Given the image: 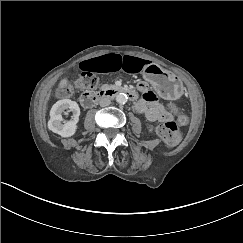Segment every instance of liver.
<instances>
[{
	"label": "liver",
	"mask_w": 243,
	"mask_h": 243,
	"mask_svg": "<svg viewBox=\"0 0 243 243\" xmlns=\"http://www.w3.org/2000/svg\"><path fill=\"white\" fill-rule=\"evenodd\" d=\"M67 85L69 86V82H68L67 78H64L59 83V89L63 90V88H65ZM59 89H57V93H58Z\"/></svg>",
	"instance_id": "obj_1"
}]
</instances>
